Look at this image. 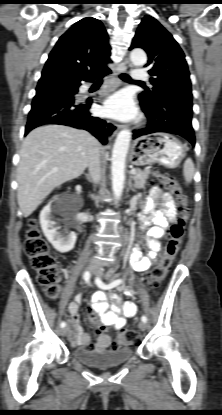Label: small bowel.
Masks as SVG:
<instances>
[{"mask_svg":"<svg viewBox=\"0 0 222 415\" xmlns=\"http://www.w3.org/2000/svg\"><path fill=\"white\" fill-rule=\"evenodd\" d=\"M159 207V209H157ZM178 215L177 206L169 192L159 187H153L143 204L140 219L146 229V245L148 253L142 256L139 247H135L131 255V264L136 271L145 272L153 264L161 250L160 239L165 236L166 229L174 222ZM101 288V287H100ZM103 289V288H102ZM126 297H132L131 287L121 288ZM81 296L68 304L69 323L72 328L71 342L73 346L86 351L102 352L109 348L111 338L106 333H99L96 343H92L80 324L79 304ZM92 308L96 311L100 321L106 326L121 329L126 320L137 314V306L132 301H123L116 293H107L104 289L95 292L92 296Z\"/></svg>","mask_w":222,"mask_h":415,"instance_id":"obj_1","label":"small bowel"}]
</instances>
